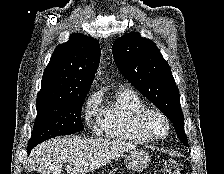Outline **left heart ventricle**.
Returning <instances> with one entry per match:
<instances>
[{
	"label": "left heart ventricle",
	"mask_w": 224,
	"mask_h": 174,
	"mask_svg": "<svg viewBox=\"0 0 224 174\" xmlns=\"http://www.w3.org/2000/svg\"><path fill=\"white\" fill-rule=\"evenodd\" d=\"M148 125L150 130L156 135H163L166 132L165 122L159 116H150Z\"/></svg>",
	"instance_id": "b2bd125f"
}]
</instances>
